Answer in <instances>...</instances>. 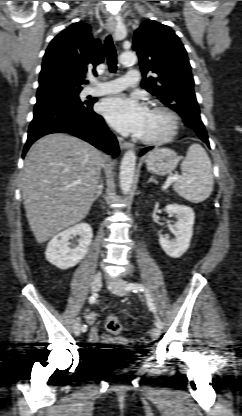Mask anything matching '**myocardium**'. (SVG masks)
Segmentation results:
<instances>
[{
	"label": "myocardium",
	"mask_w": 242,
	"mask_h": 416,
	"mask_svg": "<svg viewBox=\"0 0 242 416\" xmlns=\"http://www.w3.org/2000/svg\"><path fill=\"white\" fill-rule=\"evenodd\" d=\"M150 110L162 112L168 117L169 119L168 129L163 135L159 137H155V138L138 137V140L146 145H160V144L168 142L177 134V131L179 128V117L177 113L171 107L164 105V104H160V103L153 104L150 107Z\"/></svg>",
	"instance_id": "1"
}]
</instances>
